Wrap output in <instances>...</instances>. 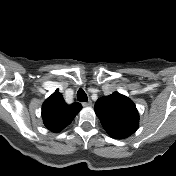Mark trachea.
<instances>
[{"mask_svg":"<svg viewBox=\"0 0 176 176\" xmlns=\"http://www.w3.org/2000/svg\"><path fill=\"white\" fill-rule=\"evenodd\" d=\"M77 100L80 102H87L88 101L87 94L85 93V91L82 88H80L77 92Z\"/></svg>","mask_w":176,"mask_h":176,"instance_id":"3493384b","label":"trachea"}]
</instances>
